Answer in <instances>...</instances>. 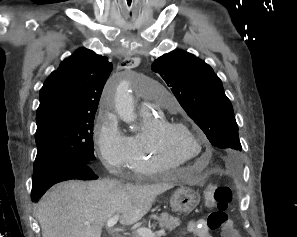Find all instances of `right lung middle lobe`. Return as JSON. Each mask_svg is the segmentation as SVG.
<instances>
[{"label":"right lung middle lobe","instance_id":"right-lung-middle-lobe-1","mask_svg":"<svg viewBox=\"0 0 297 237\" xmlns=\"http://www.w3.org/2000/svg\"><path fill=\"white\" fill-rule=\"evenodd\" d=\"M86 117L56 116L37 123L35 134L37 156L34 162L33 187L45 183L49 170L65 162L95 159L93 122Z\"/></svg>","mask_w":297,"mask_h":237}]
</instances>
